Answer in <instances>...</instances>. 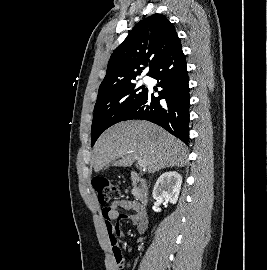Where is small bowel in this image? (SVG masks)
I'll list each match as a JSON object with an SVG mask.
<instances>
[{
	"instance_id": "c3829d8e",
	"label": "small bowel",
	"mask_w": 267,
	"mask_h": 270,
	"mask_svg": "<svg viewBox=\"0 0 267 270\" xmlns=\"http://www.w3.org/2000/svg\"><path fill=\"white\" fill-rule=\"evenodd\" d=\"M121 209L132 211L133 213L125 216L121 213ZM105 226L109 234V240L115 249L117 238L120 235L119 228L113 223L115 220H121L128 217L130 223L136 227L140 234L146 232L148 227L147 215L145 211L136 202L129 200H120L112 203L109 208H105L102 212Z\"/></svg>"
}]
</instances>
